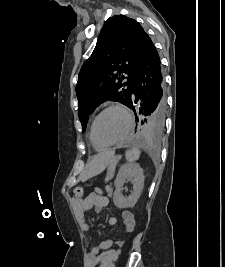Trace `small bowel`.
Masks as SVG:
<instances>
[{"mask_svg":"<svg viewBox=\"0 0 225 267\" xmlns=\"http://www.w3.org/2000/svg\"><path fill=\"white\" fill-rule=\"evenodd\" d=\"M113 194V189L107 186L104 191L96 189L88 194L83 201H73V207L82 221V227L85 232L90 231V226L86 222L85 213L90 209L95 211H101L108 204L109 197ZM121 219L113 216L109 219L111 225L121 224L125 232L131 233L135 227V219L133 214L125 209L121 210ZM113 245L112 240H105L98 246H95L87 255V267H107L108 262L116 260L120 254V247L123 245V241H116V248H111ZM103 251L102 254L100 252Z\"/></svg>","mask_w":225,"mask_h":267,"instance_id":"c3829d8e","label":"small bowel"}]
</instances>
